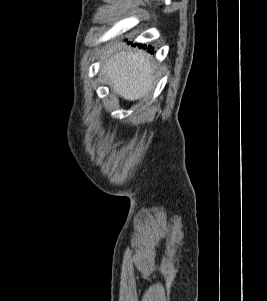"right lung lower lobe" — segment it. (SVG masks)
Listing matches in <instances>:
<instances>
[{"instance_id": "98d812e1", "label": "right lung lower lobe", "mask_w": 267, "mask_h": 301, "mask_svg": "<svg viewBox=\"0 0 267 301\" xmlns=\"http://www.w3.org/2000/svg\"><path fill=\"white\" fill-rule=\"evenodd\" d=\"M144 48H146V47H144ZM148 51H150V48H148ZM151 53H152V51H151Z\"/></svg>"}]
</instances>
